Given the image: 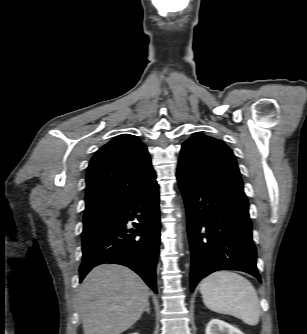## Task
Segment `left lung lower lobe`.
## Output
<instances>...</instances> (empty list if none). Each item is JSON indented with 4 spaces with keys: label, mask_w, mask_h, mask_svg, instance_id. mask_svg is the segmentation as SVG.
Returning a JSON list of instances; mask_svg holds the SVG:
<instances>
[{
    "label": "left lung lower lobe",
    "mask_w": 307,
    "mask_h": 334,
    "mask_svg": "<svg viewBox=\"0 0 307 334\" xmlns=\"http://www.w3.org/2000/svg\"><path fill=\"white\" fill-rule=\"evenodd\" d=\"M177 180L186 205L191 291L218 270L243 271L260 280L244 191L178 172Z\"/></svg>",
    "instance_id": "0a47b994"
}]
</instances>
